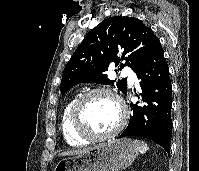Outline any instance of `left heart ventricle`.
<instances>
[{
    "mask_svg": "<svg viewBox=\"0 0 199 171\" xmlns=\"http://www.w3.org/2000/svg\"><path fill=\"white\" fill-rule=\"evenodd\" d=\"M84 117L92 132L104 134L118 125L121 113L118 104L112 97L98 94L87 100Z\"/></svg>",
    "mask_w": 199,
    "mask_h": 171,
    "instance_id": "obj_1",
    "label": "left heart ventricle"
}]
</instances>
